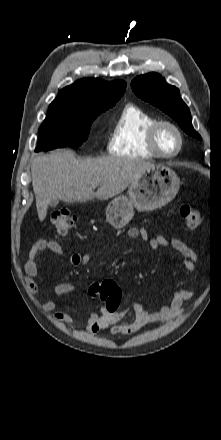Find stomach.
Masks as SVG:
<instances>
[{
    "mask_svg": "<svg viewBox=\"0 0 221 440\" xmlns=\"http://www.w3.org/2000/svg\"><path fill=\"white\" fill-rule=\"evenodd\" d=\"M180 179L167 166L157 165L141 174L128 189V196L115 197L106 208V220L114 228H122L139 211H151L170 202L178 193Z\"/></svg>",
    "mask_w": 221,
    "mask_h": 440,
    "instance_id": "1",
    "label": "stomach"
}]
</instances>
